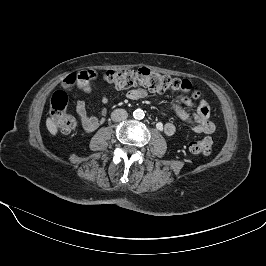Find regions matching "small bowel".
<instances>
[{"instance_id":"obj_1","label":"small bowel","mask_w":266,"mask_h":266,"mask_svg":"<svg viewBox=\"0 0 266 266\" xmlns=\"http://www.w3.org/2000/svg\"><path fill=\"white\" fill-rule=\"evenodd\" d=\"M147 92L143 88H136L128 91L127 97L131 100H139L145 98ZM101 103L107 104L108 97L103 94ZM184 106L194 107V102L188 97H181L172 104V108L176 115L185 123L191 125L196 133L211 134L215 130L213 122L210 120V110L208 104L204 101L199 104L194 113H189ZM76 112L80 118L81 126L85 132L95 131L104 121L106 110L103 109L101 117H96L88 112L87 104L84 100H78L76 103ZM163 131L167 136L174 135L176 127L173 123L167 122L163 126Z\"/></svg>"}]
</instances>
